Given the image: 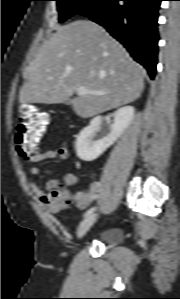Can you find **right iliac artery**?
I'll use <instances>...</instances> for the list:
<instances>
[{
  "instance_id": "1",
  "label": "right iliac artery",
  "mask_w": 180,
  "mask_h": 299,
  "mask_svg": "<svg viewBox=\"0 0 180 299\" xmlns=\"http://www.w3.org/2000/svg\"><path fill=\"white\" fill-rule=\"evenodd\" d=\"M96 207H91L90 209H88L85 214L84 217H87L88 215L92 214L95 211Z\"/></svg>"
}]
</instances>
